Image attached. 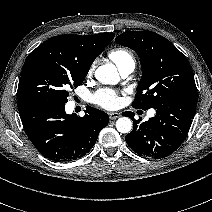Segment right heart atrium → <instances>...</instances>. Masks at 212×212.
<instances>
[{"label":"right heart atrium","instance_id":"1","mask_svg":"<svg viewBox=\"0 0 212 212\" xmlns=\"http://www.w3.org/2000/svg\"><path fill=\"white\" fill-rule=\"evenodd\" d=\"M92 70H93V66H91V67H90V69H89V73H91V72H92Z\"/></svg>","mask_w":212,"mask_h":212}]
</instances>
